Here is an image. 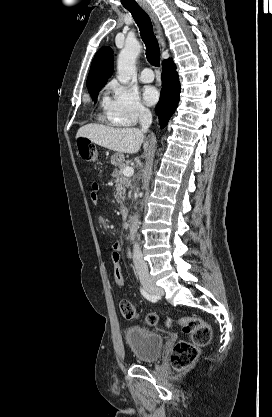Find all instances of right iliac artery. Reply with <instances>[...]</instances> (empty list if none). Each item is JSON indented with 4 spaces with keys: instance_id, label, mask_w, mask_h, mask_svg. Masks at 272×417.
I'll list each match as a JSON object with an SVG mask.
<instances>
[{
    "instance_id": "right-iliac-artery-1",
    "label": "right iliac artery",
    "mask_w": 272,
    "mask_h": 417,
    "mask_svg": "<svg viewBox=\"0 0 272 417\" xmlns=\"http://www.w3.org/2000/svg\"><path fill=\"white\" fill-rule=\"evenodd\" d=\"M141 294L149 301L151 302H157L158 298L156 295L153 294H149L148 292H146L145 289L141 288L140 289Z\"/></svg>"
}]
</instances>
